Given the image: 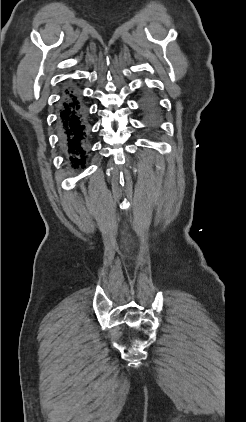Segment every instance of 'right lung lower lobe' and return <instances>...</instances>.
Masks as SVG:
<instances>
[{"mask_svg": "<svg viewBox=\"0 0 246 422\" xmlns=\"http://www.w3.org/2000/svg\"><path fill=\"white\" fill-rule=\"evenodd\" d=\"M58 129L60 143L72 167H85L89 135L85 106L76 90L65 91L60 105Z\"/></svg>", "mask_w": 246, "mask_h": 422, "instance_id": "1", "label": "right lung lower lobe"}]
</instances>
